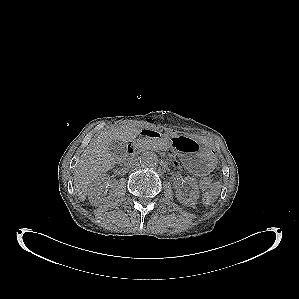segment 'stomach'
Returning <instances> with one entry per match:
<instances>
[{"label":"stomach","mask_w":299,"mask_h":299,"mask_svg":"<svg viewBox=\"0 0 299 299\" xmlns=\"http://www.w3.org/2000/svg\"><path fill=\"white\" fill-rule=\"evenodd\" d=\"M163 142L180 155L184 164L193 172H208L212 165V156L196 139L185 135L164 136Z\"/></svg>","instance_id":"stomach-1"}]
</instances>
